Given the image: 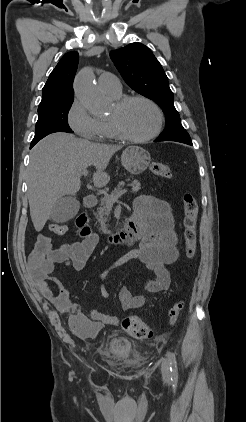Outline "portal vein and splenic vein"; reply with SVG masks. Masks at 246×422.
Returning a JSON list of instances; mask_svg holds the SVG:
<instances>
[{
  "label": "portal vein and splenic vein",
  "mask_w": 246,
  "mask_h": 422,
  "mask_svg": "<svg viewBox=\"0 0 246 422\" xmlns=\"http://www.w3.org/2000/svg\"><path fill=\"white\" fill-rule=\"evenodd\" d=\"M83 175L86 177L88 175V171H84ZM126 192H127V189H123L115 197H107L106 201H107L108 205L112 206L115 202L118 201V198L121 197Z\"/></svg>",
  "instance_id": "18ae733b"
}]
</instances>
